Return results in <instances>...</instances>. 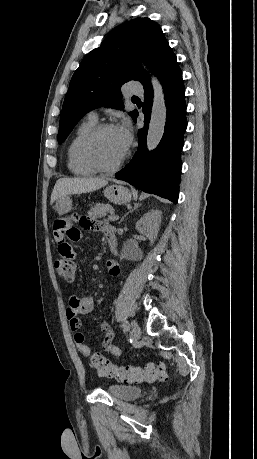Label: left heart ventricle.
<instances>
[{"instance_id": "obj_1", "label": "left heart ventricle", "mask_w": 257, "mask_h": 459, "mask_svg": "<svg viewBox=\"0 0 257 459\" xmlns=\"http://www.w3.org/2000/svg\"><path fill=\"white\" fill-rule=\"evenodd\" d=\"M124 153L115 128L102 132L94 144L95 157L106 166L117 162Z\"/></svg>"}]
</instances>
